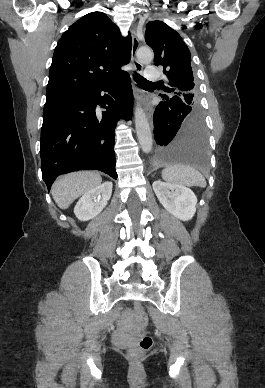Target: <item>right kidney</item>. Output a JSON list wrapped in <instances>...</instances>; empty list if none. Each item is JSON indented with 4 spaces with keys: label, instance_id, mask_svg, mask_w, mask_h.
Segmentation results:
<instances>
[{
    "label": "right kidney",
    "instance_id": "1",
    "mask_svg": "<svg viewBox=\"0 0 265 388\" xmlns=\"http://www.w3.org/2000/svg\"><path fill=\"white\" fill-rule=\"evenodd\" d=\"M112 194V182H104L96 188H92L89 192H86L80 200H78L74 214L81 222H87V220H93L96 218L105 206H107L108 200H110Z\"/></svg>",
    "mask_w": 265,
    "mask_h": 388
}]
</instances>
